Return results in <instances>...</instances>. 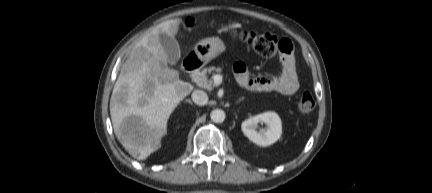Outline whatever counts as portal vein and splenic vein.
I'll return each instance as SVG.
<instances>
[{
  "instance_id": "obj_1",
  "label": "portal vein and splenic vein",
  "mask_w": 432,
  "mask_h": 193,
  "mask_svg": "<svg viewBox=\"0 0 432 193\" xmlns=\"http://www.w3.org/2000/svg\"><path fill=\"white\" fill-rule=\"evenodd\" d=\"M221 82H222V76L219 75V74L215 75V76H214V83H215L216 85H220Z\"/></svg>"
}]
</instances>
